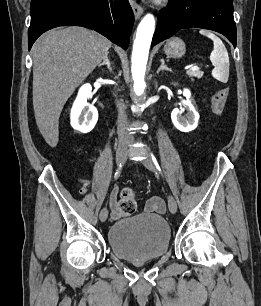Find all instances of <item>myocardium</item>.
<instances>
[{"label": "myocardium", "mask_w": 261, "mask_h": 306, "mask_svg": "<svg viewBox=\"0 0 261 306\" xmlns=\"http://www.w3.org/2000/svg\"><path fill=\"white\" fill-rule=\"evenodd\" d=\"M168 0H156V2L158 3V4H162V3H165V2H167Z\"/></svg>", "instance_id": "f54148a6"}]
</instances>
